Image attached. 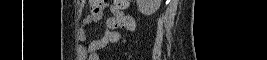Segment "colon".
I'll return each mask as SVG.
<instances>
[{
	"instance_id": "1",
	"label": "colon",
	"mask_w": 267,
	"mask_h": 60,
	"mask_svg": "<svg viewBox=\"0 0 267 60\" xmlns=\"http://www.w3.org/2000/svg\"><path fill=\"white\" fill-rule=\"evenodd\" d=\"M89 3L91 5V8H90L91 13L96 14L103 8L105 1H103V0H90ZM114 3L116 5H118L119 7H122L125 4H128L129 0H116V1H114ZM111 26L113 28H123L125 26V24L121 21H113L111 23Z\"/></svg>"
}]
</instances>
